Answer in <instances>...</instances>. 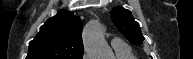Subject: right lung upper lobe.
<instances>
[{
  "label": "right lung upper lobe",
  "mask_w": 193,
  "mask_h": 59,
  "mask_svg": "<svg viewBox=\"0 0 193 59\" xmlns=\"http://www.w3.org/2000/svg\"><path fill=\"white\" fill-rule=\"evenodd\" d=\"M82 28L79 17L65 10L58 11L30 42L26 59H82Z\"/></svg>",
  "instance_id": "1"
}]
</instances>
